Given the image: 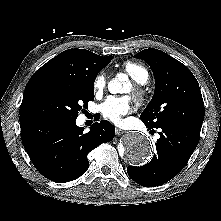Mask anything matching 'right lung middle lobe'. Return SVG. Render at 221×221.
<instances>
[{
    "mask_svg": "<svg viewBox=\"0 0 221 221\" xmlns=\"http://www.w3.org/2000/svg\"><path fill=\"white\" fill-rule=\"evenodd\" d=\"M95 78L43 80L23 97L19 114L76 119L78 112L94 100Z\"/></svg>",
    "mask_w": 221,
    "mask_h": 221,
    "instance_id": "obj_1",
    "label": "right lung middle lobe"
}]
</instances>
